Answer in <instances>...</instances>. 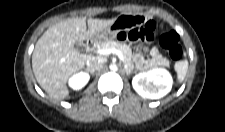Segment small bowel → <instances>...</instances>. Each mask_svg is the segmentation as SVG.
<instances>
[{
	"mask_svg": "<svg viewBox=\"0 0 225 132\" xmlns=\"http://www.w3.org/2000/svg\"><path fill=\"white\" fill-rule=\"evenodd\" d=\"M144 20L145 19L142 16H129L124 19V23L127 28H130L143 23ZM139 48L141 50H149L150 56L146 58L140 52L136 53L133 59L137 69L146 71L166 65L167 61L157 47L148 48L147 46L142 45Z\"/></svg>",
	"mask_w": 225,
	"mask_h": 132,
	"instance_id": "small-bowel-1",
	"label": "small bowel"
}]
</instances>
